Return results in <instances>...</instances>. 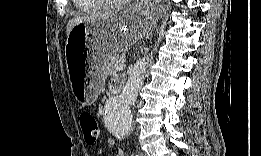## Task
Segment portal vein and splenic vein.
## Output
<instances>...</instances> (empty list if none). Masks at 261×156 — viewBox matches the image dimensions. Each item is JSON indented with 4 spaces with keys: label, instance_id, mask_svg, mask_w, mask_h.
Returning a JSON list of instances; mask_svg holds the SVG:
<instances>
[{
    "label": "portal vein and splenic vein",
    "instance_id": "obj_1",
    "mask_svg": "<svg viewBox=\"0 0 261 156\" xmlns=\"http://www.w3.org/2000/svg\"><path fill=\"white\" fill-rule=\"evenodd\" d=\"M125 67H126V65H125V63L123 61L121 64L116 66V69H117V71H122V70L125 69Z\"/></svg>",
    "mask_w": 261,
    "mask_h": 156
}]
</instances>
